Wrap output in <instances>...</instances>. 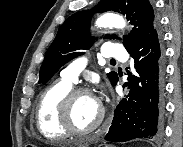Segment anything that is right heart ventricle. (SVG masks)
<instances>
[{
    "label": "right heart ventricle",
    "mask_w": 183,
    "mask_h": 147,
    "mask_svg": "<svg viewBox=\"0 0 183 147\" xmlns=\"http://www.w3.org/2000/svg\"><path fill=\"white\" fill-rule=\"evenodd\" d=\"M72 87L71 82L61 79L50 84L43 91L36 108V123L44 137L56 140L65 138L69 134L60 124L58 107Z\"/></svg>",
    "instance_id": "e07e8e85"
}]
</instances>
